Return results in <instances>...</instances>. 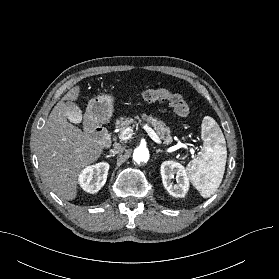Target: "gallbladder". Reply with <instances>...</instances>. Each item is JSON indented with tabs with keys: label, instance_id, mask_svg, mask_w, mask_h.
Masks as SVG:
<instances>
[{
	"label": "gallbladder",
	"instance_id": "obj_1",
	"mask_svg": "<svg viewBox=\"0 0 279 279\" xmlns=\"http://www.w3.org/2000/svg\"><path fill=\"white\" fill-rule=\"evenodd\" d=\"M67 117L73 123H81L82 121V113L79 107L73 103L68 102L66 107Z\"/></svg>",
	"mask_w": 279,
	"mask_h": 279
}]
</instances>
